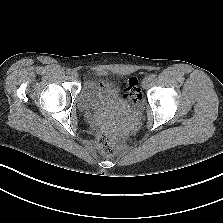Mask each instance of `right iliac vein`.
Here are the masks:
<instances>
[{
  "label": "right iliac vein",
  "mask_w": 223,
  "mask_h": 223,
  "mask_svg": "<svg viewBox=\"0 0 223 223\" xmlns=\"http://www.w3.org/2000/svg\"><path fill=\"white\" fill-rule=\"evenodd\" d=\"M71 77L76 79L78 77V73L76 71L71 72Z\"/></svg>",
  "instance_id": "right-iliac-vein-1"
}]
</instances>
